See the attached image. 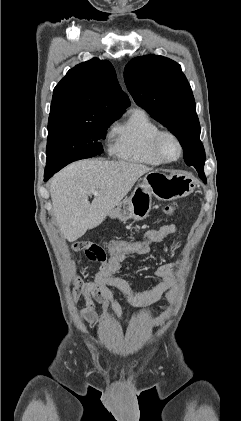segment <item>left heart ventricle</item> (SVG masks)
<instances>
[{
  "label": "left heart ventricle",
  "mask_w": 241,
  "mask_h": 421,
  "mask_svg": "<svg viewBox=\"0 0 241 421\" xmlns=\"http://www.w3.org/2000/svg\"><path fill=\"white\" fill-rule=\"evenodd\" d=\"M162 150L167 158H174L178 153L176 142L171 138H165L162 142Z\"/></svg>",
  "instance_id": "left-heart-ventricle-1"
}]
</instances>
